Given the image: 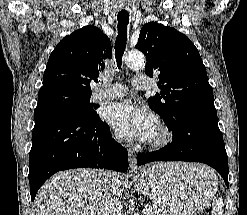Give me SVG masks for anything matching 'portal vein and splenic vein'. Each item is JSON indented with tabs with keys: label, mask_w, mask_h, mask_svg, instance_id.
Wrapping results in <instances>:
<instances>
[{
	"label": "portal vein and splenic vein",
	"mask_w": 247,
	"mask_h": 215,
	"mask_svg": "<svg viewBox=\"0 0 247 215\" xmlns=\"http://www.w3.org/2000/svg\"><path fill=\"white\" fill-rule=\"evenodd\" d=\"M144 211L150 215L153 211H152V208H148V207H145Z\"/></svg>",
	"instance_id": "18ae733b"
}]
</instances>
